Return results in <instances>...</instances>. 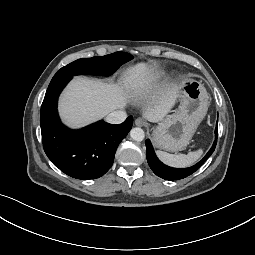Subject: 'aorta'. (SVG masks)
Listing matches in <instances>:
<instances>
[{
    "label": "aorta",
    "mask_w": 255,
    "mask_h": 255,
    "mask_svg": "<svg viewBox=\"0 0 255 255\" xmlns=\"http://www.w3.org/2000/svg\"><path fill=\"white\" fill-rule=\"evenodd\" d=\"M130 137L137 142L143 141L145 134L143 129L136 127V128H132L130 131Z\"/></svg>",
    "instance_id": "aorta-1"
}]
</instances>
